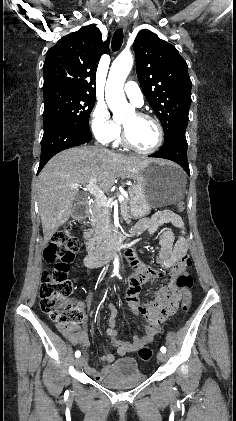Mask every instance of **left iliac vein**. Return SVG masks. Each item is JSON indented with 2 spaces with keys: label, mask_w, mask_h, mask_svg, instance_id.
I'll use <instances>...</instances> for the list:
<instances>
[{
  "label": "left iliac vein",
  "mask_w": 236,
  "mask_h": 421,
  "mask_svg": "<svg viewBox=\"0 0 236 421\" xmlns=\"http://www.w3.org/2000/svg\"><path fill=\"white\" fill-rule=\"evenodd\" d=\"M157 359L161 362H165L166 359H167V356L162 352H158L157 353Z\"/></svg>",
  "instance_id": "left-iliac-vein-1"
}]
</instances>
